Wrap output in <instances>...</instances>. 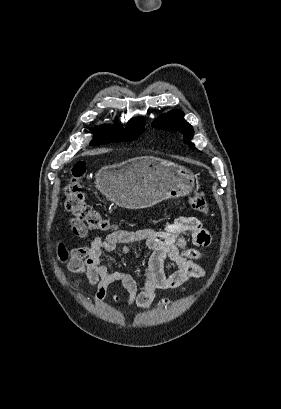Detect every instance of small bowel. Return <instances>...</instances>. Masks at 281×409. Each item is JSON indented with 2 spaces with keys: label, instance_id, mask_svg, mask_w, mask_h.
<instances>
[{
  "label": "small bowel",
  "instance_id": "1",
  "mask_svg": "<svg viewBox=\"0 0 281 409\" xmlns=\"http://www.w3.org/2000/svg\"><path fill=\"white\" fill-rule=\"evenodd\" d=\"M71 223L77 236H87V229L82 223L76 220ZM189 241L205 248L209 246L211 236L198 218L183 216L168 222L162 228L117 230L106 236H97L90 244L73 248L69 252L59 243L57 250L61 261H67L69 270L84 277L88 285L95 288V300H105L110 285L119 282L127 291V306L145 309L155 302L157 290L179 288L191 279L205 276V270L196 262L203 257V253L189 247ZM136 243H142L143 249L150 251L143 270L144 284L140 292L132 274L110 270L102 258L104 253H112L118 247L127 253L130 246ZM166 261H171L178 270L167 273ZM111 299L119 302L116 295ZM169 302L167 298H163L158 301V305H168Z\"/></svg>",
  "mask_w": 281,
  "mask_h": 409
}]
</instances>
